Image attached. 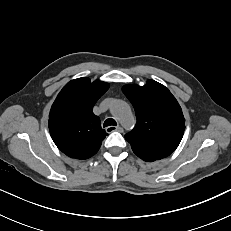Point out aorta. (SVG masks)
I'll return each mask as SVG.
<instances>
[{
    "mask_svg": "<svg viewBox=\"0 0 231 231\" xmlns=\"http://www.w3.org/2000/svg\"><path fill=\"white\" fill-rule=\"evenodd\" d=\"M110 109L112 114L122 123H126L131 120V110L125 101L120 99L114 100Z\"/></svg>",
    "mask_w": 231,
    "mask_h": 231,
    "instance_id": "obj_1",
    "label": "aorta"
}]
</instances>
